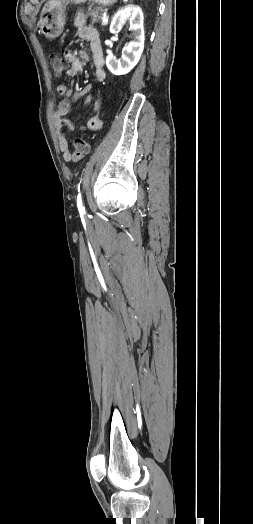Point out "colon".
<instances>
[{
	"mask_svg": "<svg viewBox=\"0 0 253 524\" xmlns=\"http://www.w3.org/2000/svg\"><path fill=\"white\" fill-rule=\"evenodd\" d=\"M64 54L51 53L49 60L55 76H60L64 72L66 66L63 58ZM89 152L88 143L82 138H76L73 142L71 150L68 151L67 160L71 162H80Z\"/></svg>",
	"mask_w": 253,
	"mask_h": 524,
	"instance_id": "colon-1",
	"label": "colon"
}]
</instances>
